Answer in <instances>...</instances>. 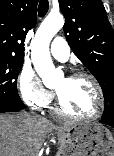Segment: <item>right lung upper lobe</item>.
Returning a JSON list of instances; mask_svg holds the SVG:
<instances>
[{"label":"right lung upper lobe","instance_id":"obj_1","mask_svg":"<svg viewBox=\"0 0 114 156\" xmlns=\"http://www.w3.org/2000/svg\"><path fill=\"white\" fill-rule=\"evenodd\" d=\"M38 0H0V58L24 59V41L37 19Z\"/></svg>","mask_w":114,"mask_h":156}]
</instances>
